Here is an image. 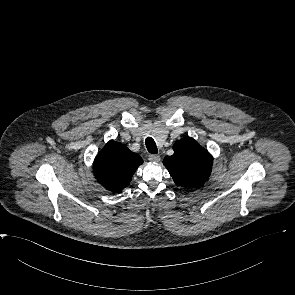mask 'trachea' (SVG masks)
<instances>
[{
	"mask_svg": "<svg viewBox=\"0 0 295 295\" xmlns=\"http://www.w3.org/2000/svg\"><path fill=\"white\" fill-rule=\"evenodd\" d=\"M145 144H146V147H147V150H148L149 153H152V154H157L158 153L156 143L151 137H148L145 140Z\"/></svg>",
	"mask_w": 295,
	"mask_h": 295,
	"instance_id": "3493384b",
	"label": "trachea"
}]
</instances>
